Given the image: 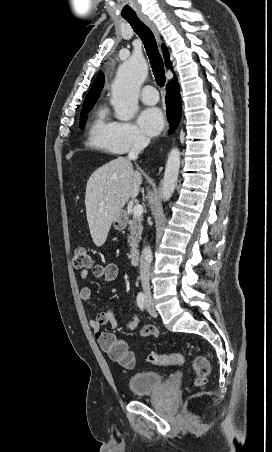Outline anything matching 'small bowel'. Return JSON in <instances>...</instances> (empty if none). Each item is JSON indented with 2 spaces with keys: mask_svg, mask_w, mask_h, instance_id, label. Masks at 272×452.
Listing matches in <instances>:
<instances>
[{
  "mask_svg": "<svg viewBox=\"0 0 272 452\" xmlns=\"http://www.w3.org/2000/svg\"><path fill=\"white\" fill-rule=\"evenodd\" d=\"M93 276L104 282H112L118 277L119 269L115 263L107 264H95L92 267ZM88 270L84 269L80 273V278L83 281L88 279ZM92 288L90 286H83L80 290V298L83 301H90L92 299ZM138 323L137 316L134 313H130V320L125 326V330L129 331L136 327ZM89 325L95 334V339L100 348L110 353L111 349L119 341H121L115 332H105L102 330L104 325H110L114 330L116 328V320L110 307L100 311L97 316L89 321ZM158 330L152 325H146L140 330L142 337H158Z\"/></svg>",
  "mask_w": 272,
  "mask_h": 452,
  "instance_id": "1",
  "label": "small bowel"
}]
</instances>
